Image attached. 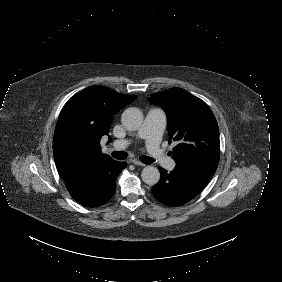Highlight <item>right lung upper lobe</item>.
Instances as JSON below:
<instances>
[{
    "mask_svg": "<svg viewBox=\"0 0 282 282\" xmlns=\"http://www.w3.org/2000/svg\"><path fill=\"white\" fill-rule=\"evenodd\" d=\"M136 97L95 85L67 101L53 139L54 160L63 180L95 163L112 160L109 155L102 154L100 140L108 135L114 114Z\"/></svg>",
    "mask_w": 282,
    "mask_h": 282,
    "instance_id": "obj_1",
    "label": "right lung upper lobe"
}]
</instances>
